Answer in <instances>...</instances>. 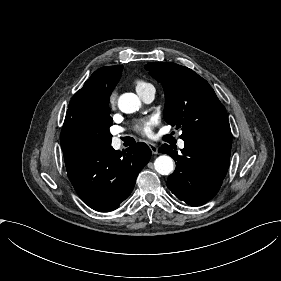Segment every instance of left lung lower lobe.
I'll return each mask as SVG.
<instances>
[{"label": "left lung lower lobe", "mask_w": 281, "mask_h": 281, "mask_svg": "<svg viewBox=\"0 0 281 281\" xmlns=\"http://www.w3.org/2000/svg\"><path fill=\"white\" fill-rule=\"evenodd\" d=\"M182 155L164 144L159 152L176 161V169L167 186L181 201L200 206L212 199L228 171L231 139L186 140Z\"/></svg>", "instance_id": "obj_1"}]
</instances>
